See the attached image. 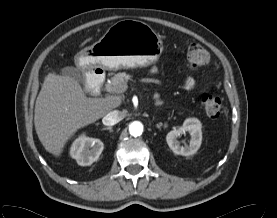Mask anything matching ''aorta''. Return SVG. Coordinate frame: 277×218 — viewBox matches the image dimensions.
Returning <instances> with one entry per match:
<instances>
[{
	"instance_id": "aorta-1",
	"label": "aorta",
	"mask_w": 277,
	"mask_h": 218,
	"mask_svg": "<svg viewBox=\"0 0 277 218\" xmlns=\"http://www.w3.org/2000/svg\"><path fill=\"white\" fill-rule=\"evenodd\" d=\"M129 132L132 136H140L143 132V125L139 121H134L129 125Z\"/></svg>"
}]
</instances>
